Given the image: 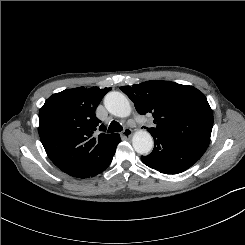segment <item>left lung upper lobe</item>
Segmentation results:
<instances>
[{"label":"left lung upper lobe","mask_w":245,"mask_h":245,"mask_svg":"<svg viewBox=\"0 0 245 245\" xmlns=\"http://www.w3.org/2000/svg\"><path fill=\"white\" fill-rule=\"evenodd\" d=\"M120 89L139 114L152 113L154 135L181 138L208 147L213 113L203 93L192 86L167 81H147Z\"/></svg>","instance_id":"5c2ea615"}]
</instances>
